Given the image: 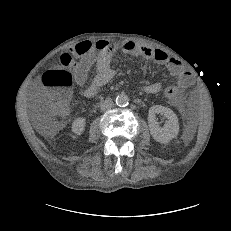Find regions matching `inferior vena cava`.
<instances>
[{"mask_svg":"<svg viewBox=\"0 0 231 231\" xmlns=\"http://www.w3.org/2000/svg\"><path fill=\"white\" fill-rule=\"evenodd\" d=\"M113 105L114 104H113L112 100L106 99L100 103V108H101V110L105 111V110L111 109L113 107Z\"/></svg>","mask_w":231,"mask_h":231,"instance_id":"1","label":"inferior vena cava"}]
</instances>
